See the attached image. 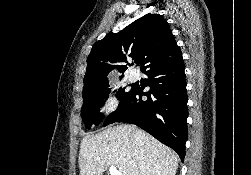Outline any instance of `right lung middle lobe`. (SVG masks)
Listing matches in <instances>:
<instances>
[{
	"mask_svg": "<svg viewBox=\"0 0 251 175\" xmlns=\"http://www.w3.org/2000/svg\"><path fill=\"white\" fill-rule=\"evenodd\" d=\"M122 78V77H121ZM108 84L103 86L83 88V106L81 109V117L87 128H91L92 124H100L104 119V115L99 113V108L104 104L106 98L110 94ZM129 91L125 88L113 91L112 94L121 100Z\"/></svg>",
	"mask_w": 251,
	"mask_h": 175,
	"instance_id": "1",
	"label": "right lung middle lobe"
}]
</instances>
